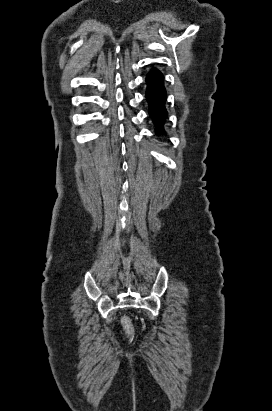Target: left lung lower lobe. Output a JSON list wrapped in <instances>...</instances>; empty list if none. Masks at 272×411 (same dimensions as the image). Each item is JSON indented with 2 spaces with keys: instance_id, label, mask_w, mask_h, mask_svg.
Segmentation results:
<instances>
[{
  "instance_id": "left-lung-lower-lobe-1",
  "label": "left lung lower lobe",
  "mask_w": 272,
  "mask_h": 411,
  "mask_svg": "<svg viewBox=\"0 0 272 411\" xmlns=\"http://www.w3.org/2000/svg\"><path fill=\"white\" fill-rule=\"evenodd\" d=\"M146 99L149 103V114L156 125V133L164 134L163 125L167 118L165 109L166 91L163 86V75L157 69H152L147 77Z\"/></svg>"
}]
</instances>
